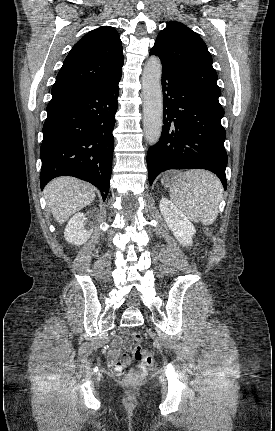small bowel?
I'll return each mask as SVG.
<instances>
[{
  "label": "small bowel",
  "instance_id": "c3829d8e",
  "mask_svg": "<svg viewBox=\"0 0 275 431\" xmlns=\"http://www.w3.org/2000/svg\"><path fill=\"white\" fill-rule=\"evenodd\" d=\"M122 343H123L122 337H116L113 340L111 348L108 353L110 364L114 370H117V367L120 362L123 364V367H125L129 363V358L127 355H124L121 360H118ZM126 346L129 347L130 343L126 342Z\"/></svg>",
  "mask_w": 275,
  "mask_h": 431
}]
</instances>
